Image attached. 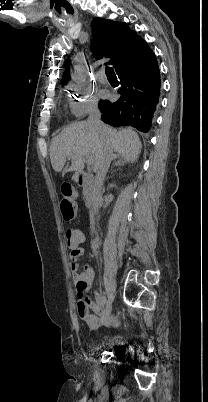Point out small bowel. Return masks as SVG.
<instances>
[{
	"label": "small bowel",
	"mask_w": 208,
	"mask_h": 402,
	"mask_svg": "<svg viewBox=\"0 0 208 402\" xmlns=\"http://www.w3.org/2000/svg\"><path fill=\"white\" fill-rule=\"evenodd\" d=\"M79 242L80 243H86L87 242V237L86 236H80L79 237ZM71 271H72V277L74 284L76 286V292L79 298H83L85 296V292L87 289L90 287L93 278H94V271L93 268L86 264L83 267V271H79V264L77 262H72L71 263ZM105 298L103 295L99 294L97 296L96 302L91 303L90 307L92 310L95 311L96 315L95 316H90L88 319V322L86 321V318L84 316H81L79 318V321L83 324V327L85 329L89 330H99V329H105L108 327L109 329H119L121 327V324L119 322H109L108 315L103 308L102 301H104ZM108 323V324H107Z\"/></svg>",
	"instance_id": "1"
}]
</instances>
